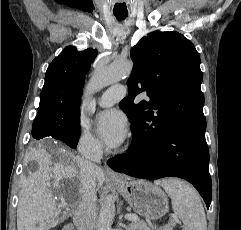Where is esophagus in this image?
<instances>
[{"instance_id": "esophagus-1", "label": "esophagus", "mask_w": 241, "mask_h": 230, "mask_svg": "<svg viewBox=\"0 0 241 230\" xmlns=\"http://www.w3.org/2000/svg\"><path fill=\"white\" fill-rule=\"evenodd\" d=\"M105 171L109 176H117V173L112 170L107 164H105Z\"/></svg>"}]
</instances>
